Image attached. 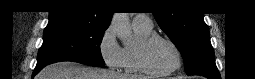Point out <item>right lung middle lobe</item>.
<instances>
[{
  "instance_id": "right-lung-middle-lobe-1",
  "label": "right lung middle lobe",
  "mask_w": 255,
  "mask_h": 79,
  "mask_svg": "<svg viewBox=\"0 0 255 79\" xmlns=\"http://www.w3.org/2000/svg\"><path fill=\"white\" fill-rule=\"evenodd\" d=\"M106 29L67 22L48 23L36 66H46L58 61L103 66L100 43Z\"/></svg>"
}]
</instances>
